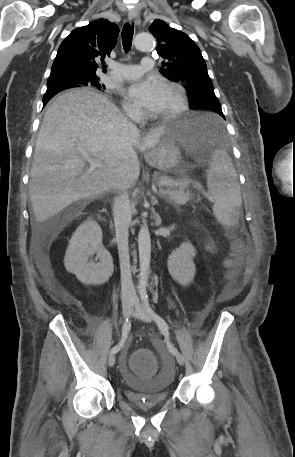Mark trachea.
Returning a JSON list of instances; mask_svg holds the SVG:
<instances>
[{
	"label": "trachea",
	"mask_w": 295,
	"mask_h": 457,
	"mask_svg": "<svg viewBox=\"0 0 295 457\" xmlns=\"http://www.w3.org/2000/svg\"><path fill=\"white\" fill-rule=\"evenodd\" d=\"M134 26L126 23L122 30V44L125 52H129L132 46Z\"/></svg>",
	"instance_id": "3493384b"
}]
</instances>
